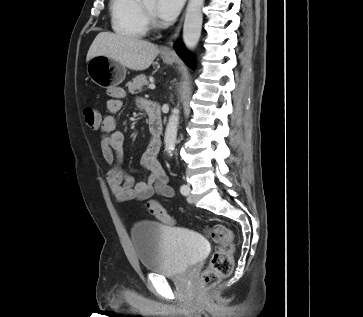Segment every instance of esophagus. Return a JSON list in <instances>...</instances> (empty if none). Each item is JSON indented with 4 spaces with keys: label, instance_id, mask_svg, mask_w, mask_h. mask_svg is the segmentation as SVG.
Returning a JSON list of instances; mask_svg holds the SVG:
<instances>
[{
    "label": "esophagus",
    "instance_id": "esophagus-1",
    "mask_svg": "<svg viewBox=\"0 0 363 317\" xmlns=\"http://www.w3.org/2000/svg\"><path fill=\"white\" fill-rule=\"evenodd\" d=\"M183 17H184V15L182 16V18L180 20V23L178 24V26L175 29L174 33L172 34V36L168 40L167 46L162 51L163 55H165V56H168V57H174L175 56L173 46H174V43L176 42V40H177V38L179 36L181 26H182V22H183Z\"/></svg>",
    "mask_w": 363,
    "mask_h": 317
}]
</instances>
